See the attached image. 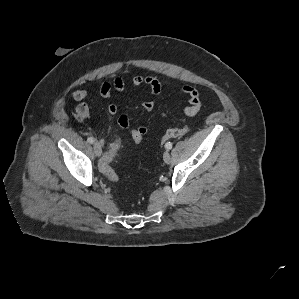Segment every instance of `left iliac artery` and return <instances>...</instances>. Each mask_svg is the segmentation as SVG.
I'll return each instance as SVG.
<instances>
[{"label": "left iliac artery", "mask_w": 299, "mask_h": 299, "mask_svg": "<svg viewBox=\"0 0 299 299\" xmlns=\"http://www.w3.org/2000/svg\"><path fill=\"white\" fill-rule=\"evenodd\" d=\"M165 148L167 150H170L172 148V143L171 142L166 143Z\"/></svg>", "instance_id": "1"}]
</instances>
